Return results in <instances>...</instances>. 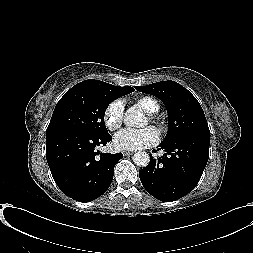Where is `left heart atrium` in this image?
<instances>
[{
  "label": "left heart atrium",
  "instance_id": "1",
  "mask_svg": "<svg viewBox=\"0 0 253 253\" xmlns=\"http://www.w3.org/2000/svg\"><path fill=\"white\" fill-rule=\"evenodd\" d=\"M159 136L153 127L141 130H122L116 134L114 145L119 150L134 151L157 144Z\"/></svg>",
  "mask_w": 253,
  "mask_h": 253
}]
</instances>
